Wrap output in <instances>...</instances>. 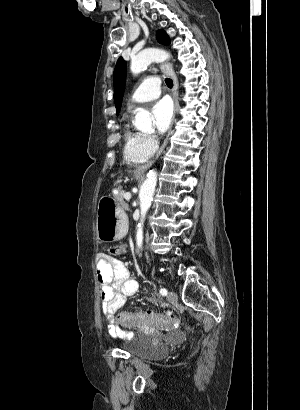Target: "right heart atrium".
<instances>
[{"instance_id":"d8ad5b80","label":"right heart atrium","mask_w":300,"mask_h":410,"mask_svg":"<svg viewBox=\"0 0 300 410\" xmlns=\"http://www.w3.org/2000/svg\"><path fill=\"white\" fill-rule=\"evenodd\" d=\"M142 145L146 151L153 153L157 148V140L151 135H142Z\"/></svg>"}]
</instances>
